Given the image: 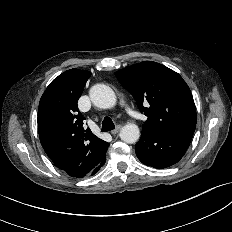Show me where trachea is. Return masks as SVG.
Here are the masks:
<instances>
[{"label": "trachea", "instance_id": "1", "mask_svg": "<svg viewBox=\"0 0 232 232\" xmlns=\"http://www.w3.org/2000/svg\"><path fill=\"white\" fill-rule=\"evenodd\" d=\"M115 128V125L110 117H105L102 122V132H107L110 130H113Z\"/></svg>", "mask_w": 232, "mask_h": 232}]
</instances>
